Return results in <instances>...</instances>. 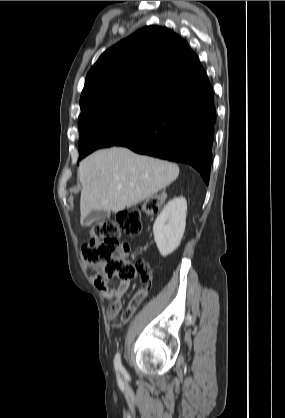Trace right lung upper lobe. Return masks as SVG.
I'll list each match as a JSON object with an SVG mask.
<instances>
[{
    "label": "right lung upper lobe",
    "mask_w": 285,
    "mask_h": 418,
    "mask_svg": "<svg viewBox=\"0 0 285 418\" xmlns=\"http://www.w3.org/2000/svg\"><path fill=\"white\" fill-rule=\"evenodd\" d=\"M207 78L196 53L172 30L146 26L105 51L88 72L78 120L116 104L167 105Z\"/></svg>",
    "instance_id": "1"
}]
</instances>
